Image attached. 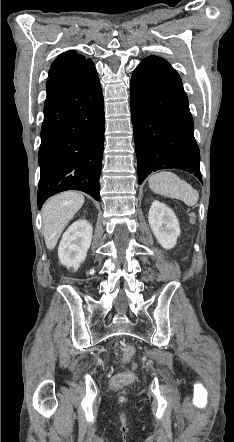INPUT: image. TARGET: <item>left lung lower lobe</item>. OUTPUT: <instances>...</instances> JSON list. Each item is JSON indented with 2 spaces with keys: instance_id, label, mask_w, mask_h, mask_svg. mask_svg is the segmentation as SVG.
<instances>
[{
  "instance_id": "obj_1",
  "label": "left lung lower lobe",
  "mask_w": 234,
  "mask_h": 442,
  "mask_svg": "<svg viewBox=\"0 0 234 442\" xmlns=\"http://www.w3.org/2000/svg\"><path fill=\"white\" fill-rule=\"evenodd\" d=\"M130 105L138 160V181L160 169L175 168L202 180L188 98L178 73L150 56L134 70Z\"/></svg>"
}]
</instances>
